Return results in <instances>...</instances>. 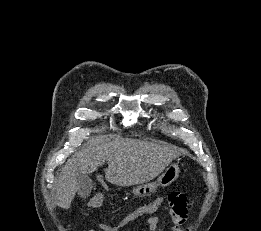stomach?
Here are the masks:
<instances>
[{"instance_id":"1","label":"stomach","mask_w":261,"mask_h":231,"mask_svg":"<svg viewBox=\"0 0 261 231\" xmlns=\"http://www.w3.org/2000/svg\"><path fill=\"white\" fill-rule=\"evenodd\" d=\"M180 174V166L178 163L169 165L166 170L159 176L157 181L137 185L132 192L135 196L144 197L156 192L158 186H168L174 182Z\"/></svg>"}]
</instances>
